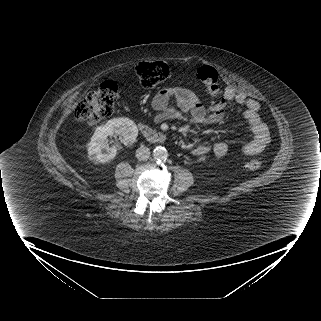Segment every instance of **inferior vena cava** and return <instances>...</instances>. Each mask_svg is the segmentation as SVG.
<instances>
[{
	"mask_svg": "<svg viewBox=\"0 0 321 321\" xmlns=\"http://www.w3.org/2000/svg\"><path fill=\"white\" fill-rule=\"evenodd\" d=\"M150 156V150L147 147H139L136 150V157L138 160H146Z\"/></svg>",
	"mask_w": 321,
	"mask_h": 321,
	"instance_id": "1",
	"label": "inferior vena cava"
}]
</instances>
